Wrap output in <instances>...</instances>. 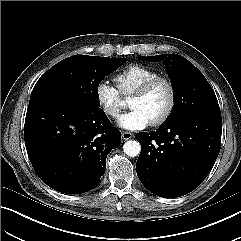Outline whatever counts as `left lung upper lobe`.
<instances>
[{"label": "left lung upper lobe", "instance_id": "1", "mask_svg": "<svg viewBox=\"0 0 241 241\" xmlns=\"http://www.w3.org/2000/svg\"><path fill=\"white\" fill-rule=\"evenodd\" d=\"M138 57L156 62L164 59L174 90V107L164 123L191 113L220 114L216 95L204 75L187 59L177 54Z\"/></svg>", "mask_w": 241, "mask_h": 241}]
</instances>
